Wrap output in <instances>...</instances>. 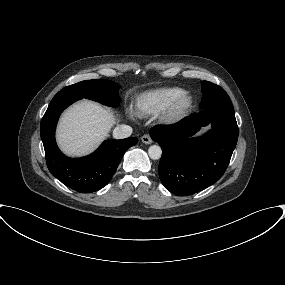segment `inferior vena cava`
Returning a JSON list of instances; mask_svg holds the SVG:
<instances>
[{"instance_id":"obj_1","label":"inferior vena cava","mask_w":285,"mask_h":285,"mask_svg":"<svg viewBox=\"0 0 285 285\" xmlns=\"http://www.w3.org/2000/svg\"><path fill=\"white\" fill-rule=\"evenodd\" d=\"M132 134V128L128 125H118L113 131V137L115 139H124Z\"/></svg>"}]
</instances>
